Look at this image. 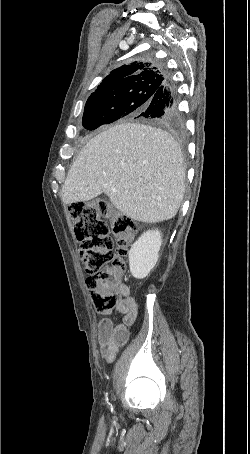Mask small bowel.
<instances>
[{
  "label": "small bowel",
  "instance_id": "1",
  "mask_svg": "<svg viewBox=\"0 0 250 454\" xmlns=\"http://www.w3.org/2000/svg\"><path fill=\"white\" fill-rule=\"evenodd\" d=\"M121 295L123 299L117 305V313L121 316V323L114 324L113 321L104 317L98 326V342L100 351L107 363L114 361L121 346L129 339V328L137 317V304L131 297L128 287L122 285Z\"/></svg>",
  "mask_w": 250,
  "mask_h": 454
}]
</instances>
